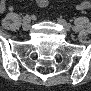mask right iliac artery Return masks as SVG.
<instances>
[{"instance_id":"1","label":"right iliac artery","mask_w":91,"mask_h":91,"mask_svg":"<svg viewBox=\"0 0 91 91\" xmlns=\"http://www.w3.org/2000/svg\"><path fill=\"white\" fill-rule=\"evenodd\" d=\"M28 19H30V17L27 15V16L24 17L23 20H28Z\"/></svg>"}]
</instances>
